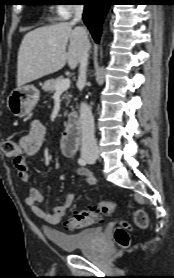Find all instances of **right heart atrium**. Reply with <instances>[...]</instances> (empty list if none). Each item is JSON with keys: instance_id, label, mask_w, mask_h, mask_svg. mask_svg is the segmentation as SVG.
<instances>
[{"instance_id": "d8ad5b80", "label": "right heart atrium", "mask_w": 174, "mask_h": 278, "mask_svg": "<svg viewBox=\"0 0 174 278\" xmlns=\"http://www.w3.org/2000/svg\"><path fill=\"white\" fill-rule=\"evenodd\" d=\"M76 4H59L55 8L57 18L60 20H66L71 17L73 12L77 9Z\"/></svg>"}]
</instances>
